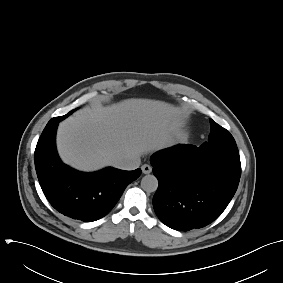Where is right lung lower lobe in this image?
<instances>
[{"label":"right lung lower lobe","mask_w":283,"mask_h":283,"mask_svg":"<svg viewBox=\"0 0 283 283\" xmlns=\"http://www.w3.org/2000/svg\"><path fill=\"white\" fill-rule=\"evenodd\" d=\"M60 121L50 120L38 140L34 158L39 183L58 212L84 222L98 220L111 211L127 185L140 176L141 170L109 167L83 173L63 164L55 145Z\"/></svg>","instance_id":"right-lung-lower-lobe-1"}]
</instances>
